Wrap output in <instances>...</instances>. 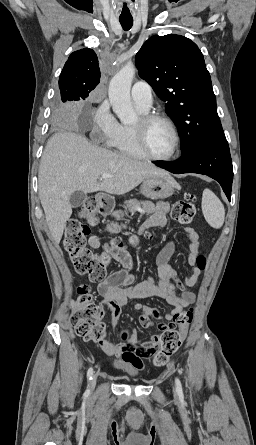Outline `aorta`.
Returning a JSON list of instances; mask_svg holds the SVG:
<instances>
[{"instance_id":"aorta-1","label":"aorta","mask_w":256,"mask_h":445,"mask_svg":"<svg viewBox=\"0 0 256 445\" xmlns=\"http://www.w3.org/2000/svg\"><path fill=\"white\" fill-rule=\"evenodd\" d=\"M134 75L135 67L129 63L114 75L109 84L110 104L122 123H132L137 119L130 97Z\"/></svg>"}]
</instances>
